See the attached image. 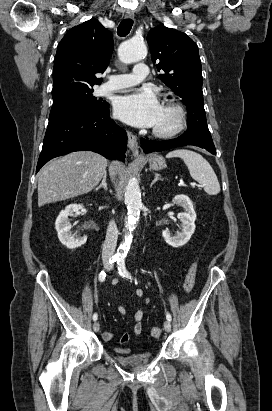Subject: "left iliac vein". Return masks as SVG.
Masks as SVG:
<instances>
[{
    "label": "left iliac vein",
    "mask_w": 272,
    "mask_h": 411,
    "mask_svg": "<svg viewBox=\"0 0 272 411\" xmlns=\"http://www.w3.org/2000/svg\"><path fill=\"white\" fill-rule=\"evenodd\" d=\"M164 329L166 332L171 331V323L168 320L164 322Z\"/></svg>",
    "instance_id": "4c4485c4"
}]
</instances>
